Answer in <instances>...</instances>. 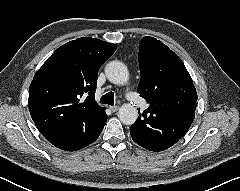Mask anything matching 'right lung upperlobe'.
<instances>
[{"label":"right lung upper lobe","instance_id":"right-lung-upper-lobe-1","mask_svg":"<svg viewBox=\"0 0 240 191\" xmlns=\"http://www.w3.org/2000/svg\"><path fill=\"white\" fill-rule=\"evenodd\" d=\"M117 45L81 37L59 47L35 74L29 87V110L42 135L80 132L105 116L95 101L100 66Z\"/></svg>","mask_w":240,"mask_h":191}]
</instances>
